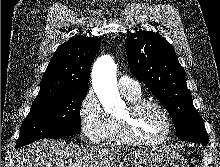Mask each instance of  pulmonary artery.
I'll use <instances>...</instances> for the list:
<instances>
[{"mask_svg":"<svg viewBox=\"0 0 220 167\" xmlns=\"http://www.w3.org/2000/svg\"><path fill=\"white\" fill-rule=\"evenodd\" d=\"M118 86L123 94L138 95L141 92L139 83L126 75L119 77Z\"/></svg>","mask_w":220,"mask_h":167,"instance_id":"pulmonary-artery-1","label":"pulmonary artery"}]
</instances>
